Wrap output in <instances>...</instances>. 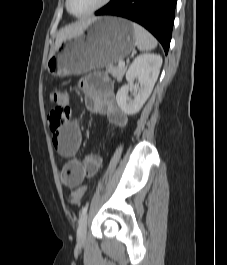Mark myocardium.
Instances as JSON below:
<instances>
[{
    "mask_svg": "<svg viewBox=\"0 0 227 265\" xmlns=\"http://www.w3.org/2000/svg\"><path fill=\"white\" fill-rule=\"evenodd\" d=\"M111 0H101L95 7H93L92 9H90L89 11L82 13V14H75L70 10V0H66V9L67 11L74 17L77 18H82V17H86L89 16L97 11H99L100 9H102L103 7H105Z\"/></svg>",
    "mask_w": 227,
    "mask_h": 265,
    "instance_id": "1",
    "label": "myocardium"
}]
</instances>
